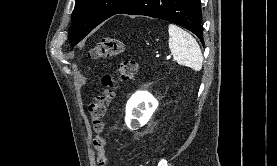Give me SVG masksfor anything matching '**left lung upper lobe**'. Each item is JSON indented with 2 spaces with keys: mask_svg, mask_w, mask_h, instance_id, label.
Listing matches in <instances>:
<instances>
[{
  "mask_svg": "<svg viewBox=\"0 0 277 166\" xmlns=\"http://www.w3.org/2000/svg\"><path fill=\"white\" fill-rule=\"evenodd\" d=\"M133 0H76L69 28V41L77 44L92 29L115 15Z\"/></svg>",
  "mask_w": 277,
  "mask_h": 166,
  "instance_id": "5c2ea615",
  "label": "left lung upper lobe"
}]
</instances>
